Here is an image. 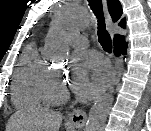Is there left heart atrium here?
<instances>
[{"instance_id": "obj_1", "label": "left heart atrium", "mask_w": 151, "mask_h": 131, "mask_svg": "<svg viewBox=\"0 0 151 131\" xmlns=\"http://www.w3.org/2000/svg\"><path fill=\"white\" fill-rule=\"evenodd\" d=\"M111 73L106 63L95 53L75 56L70 77L71 90L84 99L98 95L109 83Z\"/></svg>"}]
</instances>
